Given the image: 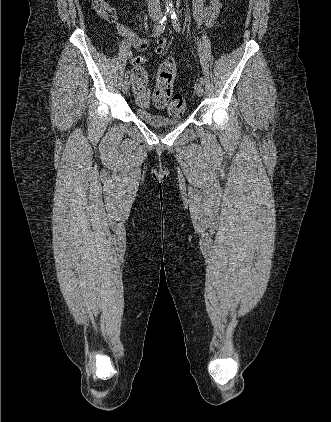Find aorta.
<instances>
[{
	"label": "aorta",
	"instance_id": "762f6f07",
	"mask_svg": "<svg viewBox=\"0 0 331 422\" xmlns=\"http://www.w3.org/2000/svg\"><path fill=\"white\" fill-rule=\"evenodd\" d=\"M166 5H167V7L169 6H171L172 7V0H166Z\"/></svg>",
	"mask_w": 331,
	"mask_h": 422
}]
</instances>
